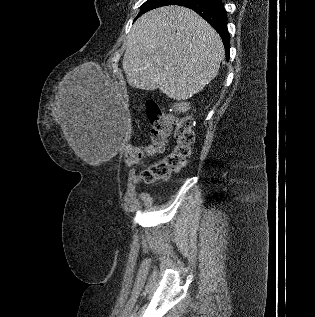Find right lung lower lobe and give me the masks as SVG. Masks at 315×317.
Masks as SVG:
<instances>
[{
    "instance_id": "right-lung-lower-lobe-1",
    "label": "right lung lower lobe",
    "mask_w": 315,
    "mask_h": 317,
    "mask_svg": "<svg viewBox=\"0 0 315 317\" xmlns=\"http://www.w3.org/2000/svg\"><path fill=\"white\" fill-rule=\"evenodd\" d=\"M175 5L188 7L201 15L221 36L226 59L229 60L230 40L226 11L221 0H179Z\"/></svg>"
}]
</instances>
